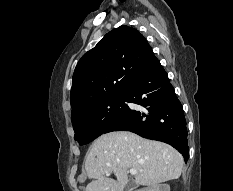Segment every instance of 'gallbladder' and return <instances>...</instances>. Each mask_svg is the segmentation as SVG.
I'll return each mask as SVG.
<instances>
[{"mask_svg":"<svg viewBox=\"0 0 233 191\" xmlns=\"http://www.w3.org/2000/svg\"><path fill=\"white\" fill-rule=\"evenodd\" d=\"M135 188V183L133 180H129L127 185L125 186V190L124 191H132Z\"/></svg>","mask_w":233,"mask_h":191,"instance_id":"bac80fb5","label":"gallbladder"}]
</instances>
